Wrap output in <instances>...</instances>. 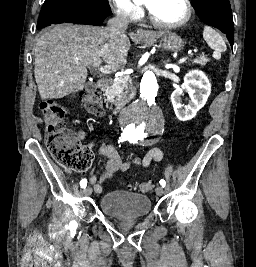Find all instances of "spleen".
<instances>
[{"label": "spleen", "mask_w": 256, "mask_h": 267, "mask_svg": "<svg viewBox=\"0 0 256 267\" xmlns=\"http://www.w3.org/2000/svg\"><path fill=\"white\" fill-rule=\"evenodd\" d=\"M203 38L205 42H207L208 46L215 50L213 56L214 58H220L221 52H226L227 46L220 34L213 30V28H209V26H205L203 30Z\"/></svg>", "instance_id": "3e777b00"}]
</instances>
